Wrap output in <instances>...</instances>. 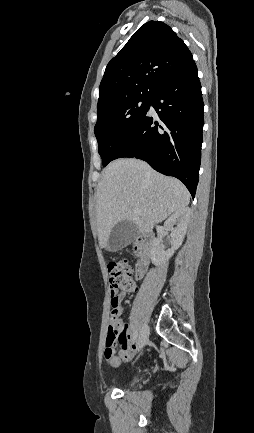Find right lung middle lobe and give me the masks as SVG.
I'll return each instance as SVG.
<instances>
[{"instance_id":"1","label":"right lung middle lobe","mask_w":254,"mask_h":433,"mask_svg":"<svg viewBox=\"0 0 254 433\" xmlns=\"http://www.w3.org/2000/svg\"><path fill=\"white\" fill-rule=\"evenodd\" d=\"M151 98L132 99L110 105L97 111L94 132L98 151L105 167L148 111Z\"/></svg>"}]
</instances>
